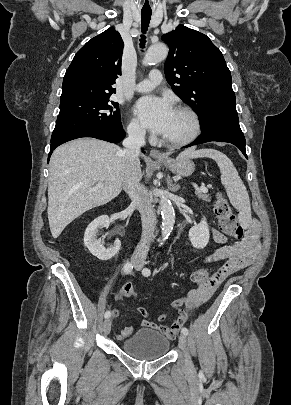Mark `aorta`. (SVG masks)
Returning a JSON list of instances; mask_svg holds the SVG:
<instances>
[{
    "label": "aorta",
    "instance_id": "1",
    "mask_svg": "<svg viewBox=\"0 0 291 405\" xmlns=\"http://www.w3.org/2000/svg\"><path fill=\"white\" fill-rule=\"evenodd\" d=\"M168 55V48L163 43H157L149 47L146 52L143 64L144 65H153L155 63L161 62L166 59ZM161 204V215H162V241H165L170 233L172 232L174 223H175V212L174 208L169 199L162 196L160 200Z\"/></svg>",
    "mask_w": 291,
    "mask_h": 405
}]
</instances>
